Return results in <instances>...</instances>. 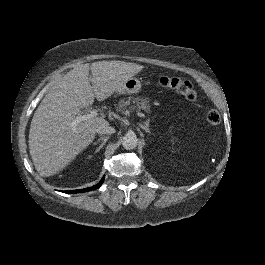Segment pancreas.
Returning a JSON list of instances; mask_svg holds the SVG:
<instances>
[{
	"mask_svg": "<svg viewBox=\"0 0 265 265\" xmlns=\"http://www.w3.org/2000/svg\"><path fill=\"white\" fill-rule=\"evenodd\" d=\"M133 104V106H130V104ZM129 106V111L133 110H144L145 112H150V105L148 103V100L144 98H133L129 96L127 100L122 99L118 102V105L116 107V110L121 113H125L127 110V107Z\"/></svg>",
	"mask_w": 265,
	"mask_h": 265,
	"instance_id": "obj_1",
	"label": "pancreas"
}]
</instances>
